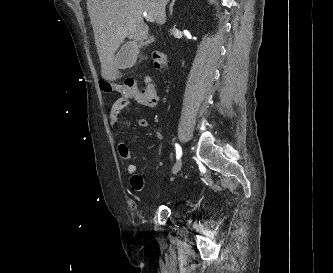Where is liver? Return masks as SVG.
Here are the masks:
<instances>
[{
	"instance_id": "1",
	"label": "liver",
	"mask_w": 333,
	"mask_h": 273,
	"mask_svg": "<svg viewBox=\"0 0 333 273\" xmlns=\"http://www.w3.org/2000/svg\"><path fill=\"white\" fill-rule=\"evenodd\" d=\"M168 1L87 0L104 79L114 80L121 76L116 52L126 37L141 45L147 39L149 28L144 22V13L153 16L158 25L165 24Z\"/></svg>"
}]
</instances>
